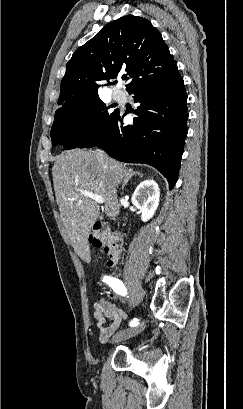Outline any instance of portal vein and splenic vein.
Listing matches in <instances>:
<instances>
[{"mask_svg": "<svg viewBox=\"0 0 243 409\" xmlns=\"http://www.w3.org/2000/svg\"><path fill=\"white\" fill-rule=\"evenodd\" d=\"M81 192V194L85 197L91 198L93 200H95L97 203L102 204L104 202V199L102 196L98 195V194H94L92 192H89L87 190H79Z\"/></svg>", "mask_w": 243, "mask_h": 409, "instance_id": "obj_1", "label": "portal vein and splenic vein"}]
</instances>
